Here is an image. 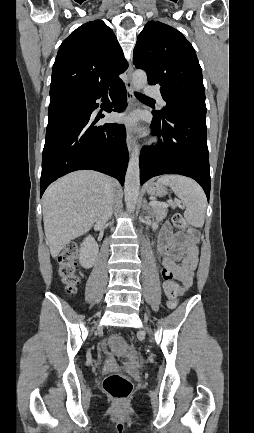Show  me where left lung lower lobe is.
<instances>
[{"label": "left lung lower lobe", "instance_id": "1", "mask_svg": "<svg viewBox=\"0 0 254 433\" xmlns=\"http://www.w3.org/2000/svg\"><path fill=\"white\" fill-rule=\"evenodd\" d=\"M152 131L160 139L140 154V183L162 174H180L196 180L210 196L206 113L181 108L159 116L153 112Z\"/></svg>", "mask_w": 254, "mask_h": 433}]
</instances>
